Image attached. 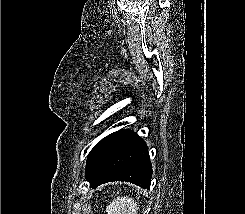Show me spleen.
I'll list each match as a JSON object with an SVG mask.
<instances>
[{
	"label": "spleen",
	"mask_w": 245,
	"mask_h": 214,
	"mask_svg": "<svg viewBox=\"0 0 245 214\" xmlns=\"http://www.w3.org/2000/svg\"><path fill=\"white\" fill-rule=\"evenodd\" d=\"M137 201L129 196H118L106 206L107 214H138Z\"/></svg>",
	"instance_id": "obj_1"
}]
</instances>
